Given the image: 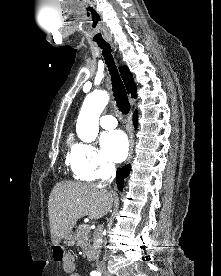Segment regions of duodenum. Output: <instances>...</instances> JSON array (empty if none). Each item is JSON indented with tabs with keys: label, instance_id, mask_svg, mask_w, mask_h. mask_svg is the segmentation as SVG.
I'll list each match as a JSON object with an SVG mask.
<instances>
[{
	"label": "duodenum",
	"instance_id": "1",
	"mask_svg": "<svg viewBox=\"0 0 221 276\" xmlns=\"http://www.w3.org/2000/svg\"><path fill=\"white\" fill-rule=\"evenodd\" d=\"M87 255H88L89 257L92 256V251H91L90 249L87 250Z\"/></svg>",
	"mask_w": 221,
	"mask_h": 276
}]
</instances>
